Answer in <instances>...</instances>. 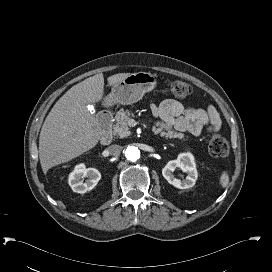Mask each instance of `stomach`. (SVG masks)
<instances>
[{
    "label": "stomach",
    "instance_id": "obj_1",
    "mask_svg": "<svg viewBox=\"0 0 272 272\" xmlns=\"http://www.w3.org/2000/svg\"><path fill=\"white\" fill-rule=\"evenodd\" d=\"M156 84V76L149 72L130 74L123 81L112 87L105 103L107 106L133 104L139 101L145 93L153 90Z\"/></svg>",
    "mask_w": 272,
    "mask_h": 272
}]
</instances>
